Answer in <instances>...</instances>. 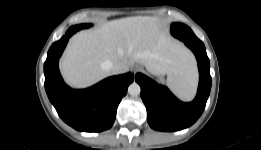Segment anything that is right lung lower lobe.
<instances>
[{"label": "right lung lower lobe", "instance_id": "obj_1", "mask_svg": "<svg viewBox=\"0 0 261 150\" xmlns=\"http://www.w3.org/2000/svg\"><path fill=\"white\" fill-rule=\"evenodd\" d=\"M78 30L71 27L50 47L44 63L45 89L57 113L67 124L79 131L100 132L113 125L117 107L134 75L113 76L84 90L69 88L60 75L58 61L69 38Z\"/></svg>", "mask_w": 261, "mask_h": 150}]
</instances>
